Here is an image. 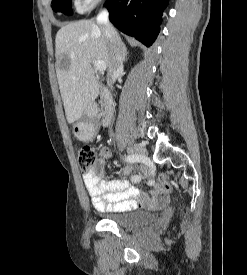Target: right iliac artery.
<instances>
[{"instance_id":"82829eb1","label":"right iliac artery","mask_w":247,"mask_h":275,"mask_svg":"<svg viewBox=\"0 0 247 275\" xmlns=\"http://www.w3.org/2000/svg\"><path fill=\"white\" fill-rule=\"evenodd\" d=\"M125 161L129 163H136L141 161V162H144L145 164H148V169H150L151 171L149 173L148 179L149 180L153 179V176L156 173L155 164H150L151 160L149 159V157H146L145 154H140V156L136 154H130L127 157H125ZM140 180H141V177L139 175H133L131 177V181L134 183H137Z\"/></svg>"}]
</instances>
